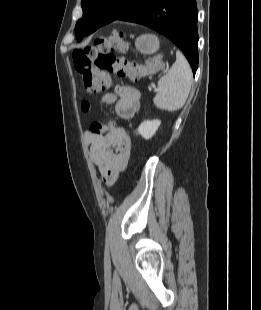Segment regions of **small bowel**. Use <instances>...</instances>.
Wrapping results in <instances>:
<instances>
[{
  "label": "small bowel",
  "instance_id": "obj_1",
  "mask_svg": "<svg viewBox=\"0 0 261 310\" xmlns=\"http://www.w3.org/2000/svg\"><path fill=\"white\" fill-rule=\"evenodd\" d=\"M140 92L128 85H117L113 92L100 98L105 104H115V111L122 119H132L140 109ZM82 110L89 111V103L83 102ZM102 133L86 131L85 137L90 145V155L93 163L107 184H112L118 174L128 163L131 153V138L126 130L110 121Z\"/></svg>",
  "mask_w": 261,
  "mask_h": 310
}]
</instances>
